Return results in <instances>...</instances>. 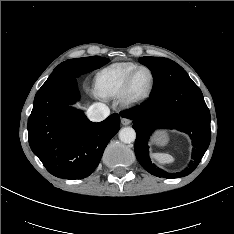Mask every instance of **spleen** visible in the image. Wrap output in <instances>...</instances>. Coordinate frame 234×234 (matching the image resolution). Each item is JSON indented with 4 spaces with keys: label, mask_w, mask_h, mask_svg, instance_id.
Returning a JSON list of instances; mask_svg holds the SVG:
<instances>
[{
    "label": "spleen",
    "mask_w": 234,
    "mask_h": 234,
    "mask_svg": "<svg viewBox=\"0 0 234 234\" xmlns=\"http://www.w3.org/2000/svg\"><path fill=\"white\" fill-rule=\"evenodd\" d=\"M151 157L154 161H156L160 165L169 164L174 162L175 160L173 156L166 153H152Z\"/></svg>",
    "instance_id": "spleen-1"
}]
</instances>
